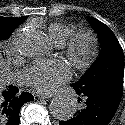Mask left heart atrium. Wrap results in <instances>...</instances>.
<instances>
[{
	"label": "left heart atrium",
	"instance_id": "1",
	"mask_svg": "<svg viewBox=\"0 0 125 125\" xmlns=\"http://www.w3.org/2000/svg\"><path fill=\"white\" fill-rule=\"evenodd\" d=\"M70 77L67 65L60 61L37 62L22 73V80L41 93L53 91Z\"/></svg>",
	"mask_w": 125,
	"mask_h": 125
}]
</instances>
